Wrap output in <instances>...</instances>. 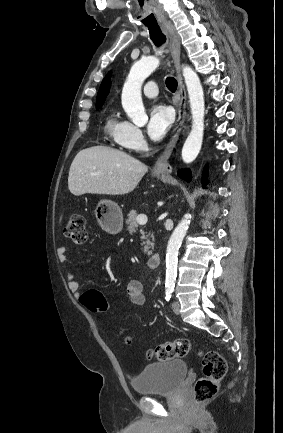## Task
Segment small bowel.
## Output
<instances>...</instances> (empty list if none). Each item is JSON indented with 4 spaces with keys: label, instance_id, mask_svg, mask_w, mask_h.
<instances>
[{
    "label": "small bowel",
    "instance_id": "c3829d8e",
    "mask_svg": "<svg viewBox=\"0 0 283 433\" xmlns=\"http://www.w3.org/2000/svg\"><path fill=\"white\" fill-rule=\"evenodd\" d=\"M57 256L59 261L62 264H66L68 262V250L66 246H60L57 249ZM67 285L69 290L72 292L75 298H79L81 296L79 291V284L75 280L74 275L72 273H68L67 275ZM127 294L132 304L136 306H142L145 303V295L143 285L139 280H131L127 285Z\"/></svg>",
    "mask_w": 283,
    "mask_h": 433
}]
</instances>
